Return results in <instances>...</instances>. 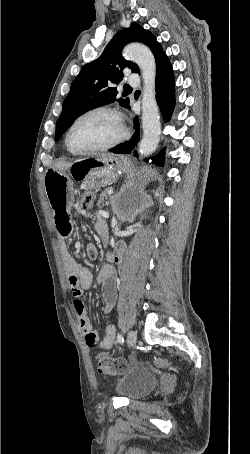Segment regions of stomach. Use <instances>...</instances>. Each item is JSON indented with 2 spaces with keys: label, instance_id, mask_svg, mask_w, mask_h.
Listing matches in <instances>:
<instances>
[{
  "label": "stomach",
  "instance_id": "1",
  "mask_svg": "<svg viewBox=\"0 0 250 454\" xmlns=\"http://www.w3.org/2000/svg\"><path fill=\"white\" fill-rule=\"evenodd\" d=\"M126 168L127 162L124 159L114 155H103L93 159L77 160L69 167L56 165L47 170L45 176H76L86 189H95L114 181L118 173Z\"/></svg>",
  "mask_w": 250,
  "mask_h": 454
}]
</instances>
